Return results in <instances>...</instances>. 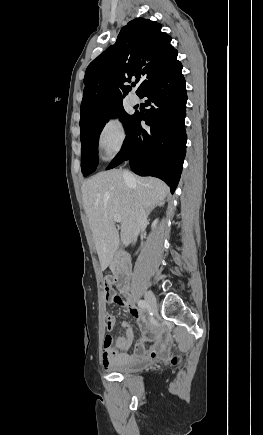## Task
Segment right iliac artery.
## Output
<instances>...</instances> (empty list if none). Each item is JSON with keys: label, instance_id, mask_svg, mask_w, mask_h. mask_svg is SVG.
I'll return each instance as SVG.
<instances>
[{"label": "right iliac artery", "instance_id": "1", "mask_svg": "<svg viewBox=\"0 0 263 435\" xmlns=\"http://www.w3.org/2000/svg\"><path fill=\"white\" fill-rule=\"evenodd\" d=\"M138 306L142 309H146L147 308V303L144 300H139L138 301Z\"/></svg>", "mask_w": 263, "mask_h": 435}]
</instances>
